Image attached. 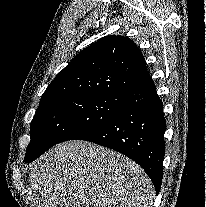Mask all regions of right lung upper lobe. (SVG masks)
Instances as JSON below:
<instances>
[{"instance_id":"right-lung-upper-lobe-1","label":"right lung upper lobe","mask_w":206,"mask_h":207,"mask_svg":"<svg viewBox=\"0 0 206 207\" xmlns=\"http://www.w3.org/2000/svg\"><path fill=\"white\" fill-rule=\"evenodd\" d=\"M147 77L137 45L124 36H107L81 51L50 83L40 103L82 95H125Z\"/></svg>"}]
</instances>
